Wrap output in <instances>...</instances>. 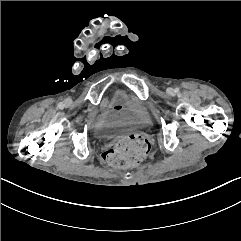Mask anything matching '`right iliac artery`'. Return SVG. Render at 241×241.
I'll return each instance as SVG.
<instances>
[{
	"label": "right iliac artery",
	"mask_w": 241,
	"mask_h": 241,
	"mask_svg": "<svg viewBox=\"0 0 241 241\" xmlns=\"http://www.w3.org/2000/svg\"><path fill=\"white\" fill-rule=\"evenodd\" d=\"M58 107H59L60 109L64 108L63 103L60 102V103L58 104Z\"/></svg>",
	"instance_id": "1"
}]
</instances>
